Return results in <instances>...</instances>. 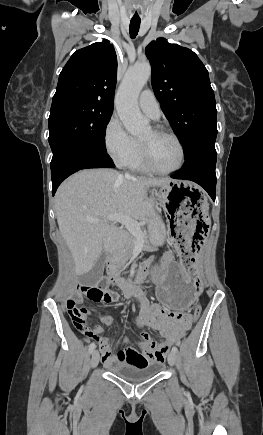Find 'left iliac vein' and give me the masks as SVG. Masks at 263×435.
<instances>
[{
  "label": "left iliac vein",
  "mask_w": 263,
  "mask_h": 435,
  "mask_svg": "<svg viewBox=\"0 0 263 435\" xmlns=\"http://www.w3.org/2000/svg\"><path fill=\"white\" fill-rule=\"evenodd\" d=\"M177 360V355L175 352L171 351L168 355V363L171 366H174Z\"/></svg>",
  "instance_id": "4c4485c4"
}]
</instances>
